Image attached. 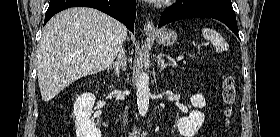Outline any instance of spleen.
I'll list each match as a JSON object with an SVG mask.
<instances>
[{
	"instance_id": "obj_1",
	"label": "spleen",
	"mask_w": 280,
	"mask_h": 137,
	"mask_svg": "<svg viewBox=\"0 0 280 137\" xmlns=\"http://www.w3.org/2000/svg\"><path fill=\"white\" fill-rule=\"evenodd\" d=\"M203 37L206 41H209L215 49L216 53H221L227 51L229 48L228 43L217 31L212 28H203L202 29Z\"/></svg>"
}]
</instances>
